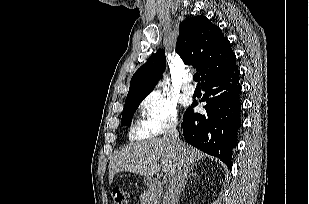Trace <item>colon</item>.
Instances as JSON below:
<instances>
[{
	"mask_svg": "<svg viewBox=\"0 0 309 204\" xmlns=\"http://www.w3.org/2000/svg\"><path fill=\"white\" fill-rule=\"evenodd\" d=\"M112 197L115 204H128L130 200V193L123 189H114Z\"/></svg>",
	"mask_w": 309,
	"mask_h": 204,
	"instance_id": "5ec220e1",
	"label": "colon"
}]
</instances>
